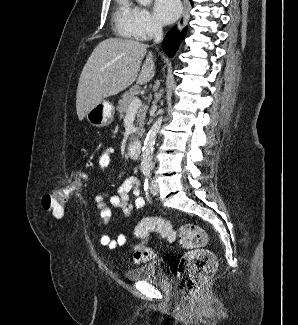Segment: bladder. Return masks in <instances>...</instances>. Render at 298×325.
<instances>
[{
  "instance_id": "1",
  "label": "bladder",
  "mask_w": 298,
  "mask_h": 325,
  "mask_svg": "<svg viewBox=\"0 0 298 325\" xmlns=\"http://www.w3.org/2000/svg\"><path fill=\"white\" fill-rule=\"evenodd\" d=\"M125 278L133 282H147L165 290L173 289L171 278L164 271L162 264L152 261L125 272Z\"/></svg>"
}]
</instances>
